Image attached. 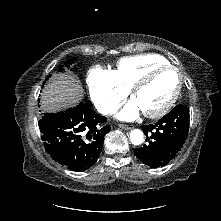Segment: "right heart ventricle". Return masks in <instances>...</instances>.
I'll list each match as a JSON object with an SVG mask.
<instances>
[{
    "label": "right heart ventricle",
    "mask_w": 221,
    "mask_h": 221,
    "mask_svg": "<svg viewBox=\"0 0 221 221\" xmlns=\"http://www.w3.org/2000/svg\"><path fill=\"white\" fill-rule=\"evenodd\" d=\"M168 64L167 59L157 54L130 56L120 59L113 72L121 85L129 91L149 69Z\"/></svg>",
    "instance_id": "1"
}]
</instances>
